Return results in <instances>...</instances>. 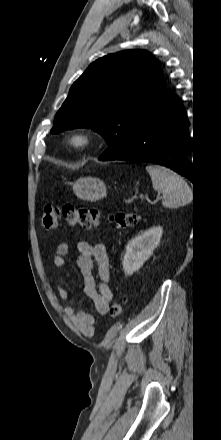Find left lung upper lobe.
Segmentation results:
<instances>
[{"label": "left lung upper lobe", "mask_w": 221, "mask_h": 440, "mask_svg": "<svg viewBox=\"0 0 221 440\" xmlns=\"http://www.w3.org/2000/svg\"><path fill=\"white\" fill-rule=\"evenodd\" d=\"M166 89L159 62L145 50H128L93 62L74 82L55 116L52 133L86 127L99 132L113 160L128 148L132 130Z\"/></svg>", "instance_id": "1"}]
</instances>
